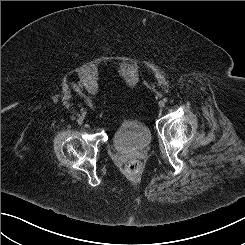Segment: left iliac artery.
<instances>
[{
  "mask_svg": "<svg viewBox=\"0 0 245 245\" xmlns=\"http://www.w3.org/2000/svg\"><path fill=\"white\" fill-rule=\"evenodd\" d=\"M163 101L166 103L168 101V99L167 98H164Z\"/></svg>",
  "mask_w": 245,
  "mask_h": 245,
  "instance_id": "44dca946",
  "label": "left iliac artery"
}]
</instances>
